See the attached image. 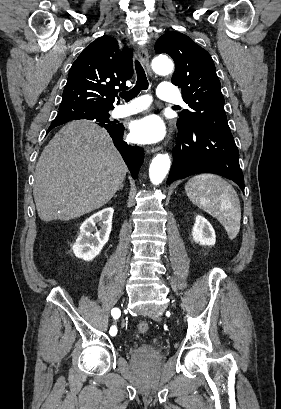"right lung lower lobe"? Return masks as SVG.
<instances>
[{
  "mask_svg": "<svg viewBox=\"0 0 281 409\" xmlns=\"http://www.w3.org/2000/svg\"><path fill=\"white\" fill-rule=\"evenodd\" d=\"M104 112L90 109H77V110H60L57 117L58 118H83V119H102ZM107 123V124H105ZM103 120L99 125L106 128L111 138L113 139L114 145L121 153L124 161L126 162L131 175L136 178L138 175V169L144 160V151L141 147H132L123 141V131L124 127L122 124H115Z\"/></svg>",
  "mask_w": 281,
  "mask_h": 409,
  "instance_id": "obj_1",
  "label": "right lung lower lobe"
}]
</instances>
